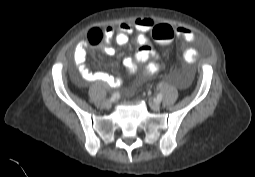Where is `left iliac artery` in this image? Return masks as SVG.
I'll return each mask as SVG.
<instances>
[{
  "label": "left iliac artery",
  "instance_id": "left-iliac-artery-1",
  "mask_svg": "<svg viewBox=\"0 0 255 177\" xmlns=\"http://www.w3.org/2000/svg\"><path fill=\"white\" fill-rule=\"evenodd\" d=\"M162 98H163L162 94L159 93V94L157 95V102L160 103V102L162 101Z\"/></svg>",
  "mask_w": 255,
  "mask_h": 177
}]
</instances>
